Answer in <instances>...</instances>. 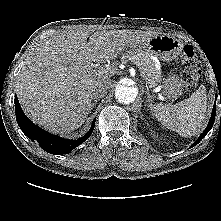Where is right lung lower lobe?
Here are the masks:
<instances>
[{"instance_id": "obj_1", "label": "right lung lower lobe", "mask_w": 221, "mask_h": 221, "mask_svg": "<svg viewBox=\"0 0 221 221\" xmlns=\"http://www.w3.org/2000/svg\"><path fill=\"white\" fill-rule=\"evenodd\" d=\"M14 102L16 120L20 129L28 138L37 141L41 148L48 153L57 155L70 153L74 148L86 141L94 129L95 120L92 123L91 129L80 139L72 141L60 138L39 128L31 120H29V118L24 114L17 97H15Z\"/></svg>"}]
</instances>
